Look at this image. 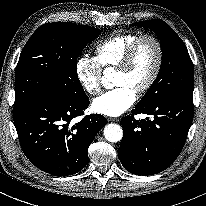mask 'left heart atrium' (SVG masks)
<instances>
[{
	"instance_id": "39dd6f15",
	"label": "left heart atrium",
	"mask_w": 206,
	"mask_h": 206,
	"mask_svg": "<svg viewBox=\"0 0 206 206\" xmlns=\"http://www.w3.org/2000/svg\"><path fill=\"white\" fill-rule=\"evenodd\" d=\"M136 100V92L127 86H120L97 97L92 102L96 113L116 117L127 111Z\"/></svg>"
}]
</instances>
